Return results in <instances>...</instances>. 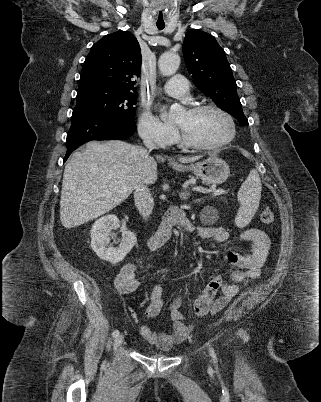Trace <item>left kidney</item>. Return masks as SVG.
I'll list each match as a JSON object with an SVG mask.
<instances>
[{
	"label": "left kidney",
	"mask_w": 321,
	"mask_h": 402,
	"mask_svg": "<svg viewBox=\"0 0 321 402\" xmlns=\"http://www.w3.org/2000/svg\"><path fill=\"white\" fill-rule=\"evenodd\" d=\"M202 221L206 223H213L218 218V212L212 207H206L200 214Z\"/></svg>",
	"instance_id": "1"
}]
</instances>
